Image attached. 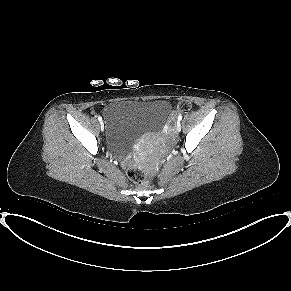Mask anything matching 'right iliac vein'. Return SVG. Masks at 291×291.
Here are the masks:
<instances>
[{"instance_id":"63e3f726","label":"right iliac vein","mask_w":291,"mask_h":291,"mask_svg":"<svg viewBox=\"0 0 291 291\" xmlns=\"http://www.w3.org/2000/svg\"><path fill=\"white\" fill-rule=\"evenodd\" d=\"M100 124H101V130H103V128H104L103 122H100Z\"/></svg>"}]
</instances>
